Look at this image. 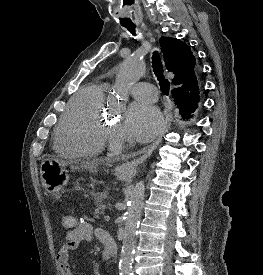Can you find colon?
Here are the masks:
<instances>
[{
	"instance_id": "colon-1",
	"label": "colon",
	"mask_w": 263,
	"mask_h": 275,
	"mask_svg": "<svg viewBox=\"0 0 263 275\" xmlns=\"http://www.w3.org/2000/svg\"><path fill=\"white\" fill-rule=\"evenodd\" d=\"M61 223L65 229L71 230L76 225V218L73 215L66 214L62 216Z\"/></svg>"
}]
</instances>
